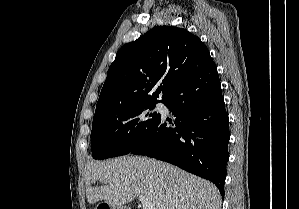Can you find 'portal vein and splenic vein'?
I'll return each instance as SVG.
<instances>
[{
    "instance_id": "1",
    "label": "portal vein and splenic vein",
    "mask_w": 299,
    "mask_h": 209,
    "mask_svg": "<svg viewBox=\"0 0 299 209\" xmlns=\"http://www.w3.org/2000/svg\"><path fill=\"white\" fill-rule=\"evenodd\" d=\"M139 200L142 203L143 209H155L154 204H152L146 197L139 196Z\"/></svg>"
}]
</instances>
